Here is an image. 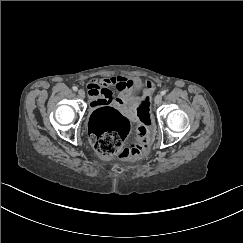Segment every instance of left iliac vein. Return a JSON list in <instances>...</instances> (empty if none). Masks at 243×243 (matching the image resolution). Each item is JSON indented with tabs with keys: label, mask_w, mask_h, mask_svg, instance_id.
Here are the masks:
<instances>
[{
	"label": "left iliac vein",
	"mask_w": 243,
	"mask_h": 243,
	"mask_svg": "<svg viewBox=\"0 0 243 243\" xmlns=\"http://www.w3.org/2000/svg\"><path fill=\"white\" fill-rule=\"evenodd\" d=\"M154 101H155V104H157V105L160 104L161 101H162V95H161V94H157V95L155 96Z\"/></svg>",
	"instance_id": "obj_1"
}]
</instances>
